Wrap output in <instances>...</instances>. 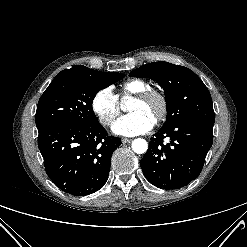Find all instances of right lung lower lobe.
<instances>
[{
	"label": "right lung lower lobe",
	"instance_id": "1",
	"mask_svg": "<svg viewBox=\"0 0 247 247\" xmlns=\"http://www.w3.org/2000/svg\"><path fill=\"white\" fill-rule=\"evenodd\" d=\"M122 144L100 123L64 124L39 132L38 147L45 170L64 192L85 196L101 189L109 175L113 151Z\"/></svg>",
	"mask_w": 247,
	"mask_h": 247
}]
</instances>
